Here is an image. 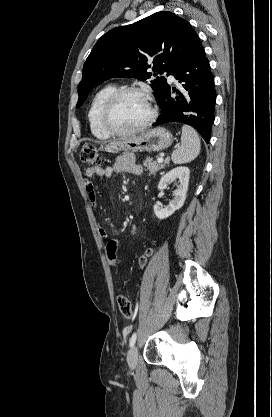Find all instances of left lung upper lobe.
<instances>
[{
  "mask_svg": "<svg viewBox=\"0 0 272 417\" xmlns=\"http://www.w3.org/2000/svg\"><path fill=\"white\" fill-rule=\"evenodd\" d=\"M200 39L188 21L171 12H157L131 25L114 28L93 47L83 67L79 83L80 107L89 92L111 77H133L151 81L158 101L167 87L169 75L185 58L201 47ZM153 58V71L147 62Z\"/></svg>",
  "mask_w": 272,
  "mask_h": 417,
  "instance_id": "1",
  "label": "left lung upper lobe"
}]
</instances>
